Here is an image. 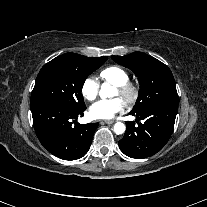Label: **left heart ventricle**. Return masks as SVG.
<instances>
[{"label":"left heart ventricle","instance_id":"left-heart-ventricle-1","mask_svg":"<svg viewBox=\"0 0 207 207\" xmlns=\"http://www.w3.org/2000/svg\"><path fill=\"white\" fill-rule=\"evenodd\" d=\"M115 95H118V92L116 91Z\"/></svg>","mask_w":207,"mask_h":207}]
</instances>
